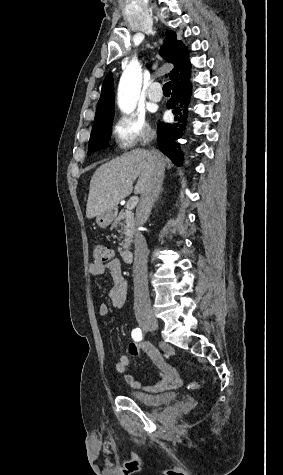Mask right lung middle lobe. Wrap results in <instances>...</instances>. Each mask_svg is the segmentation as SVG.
Returning <instances> with one entry per match:
<instances>
[{
    "mask_svg": "<svg viewBox=\"0 0 283 475\" xmlns=\"http://www.w3.org/2000/svg\"><path fill=\"white\" fill-rule=\"evenodd\" d=\"M113 118L114 105L97 107L93 129L88 144V155L108 146Z\"/></svg>",
    "mask_w": 283,
    "mask_h": 475,
    "instance_id": "obj_1",
    "label": "right lung middle lobe"
}]
</instances>
